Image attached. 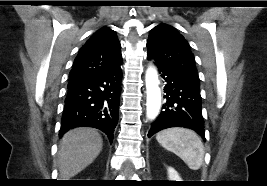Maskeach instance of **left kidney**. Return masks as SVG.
Masks as SVG:
<instances>
[{"label":"left kidney","mask_w":267,"mask_h":186,"mask_svg":"<svg viewBox=\"0 0 267 186\" xmlns=\"http://www.w3.org/2000/svg\"><path fill=\"white\" fill-rule=\"evenodd\" d=\"M168 178H169V181H181V178L178 172L172 167L168 168Z\"/></svg>","instance_id":"left-kidney-1"}]
</instances>
